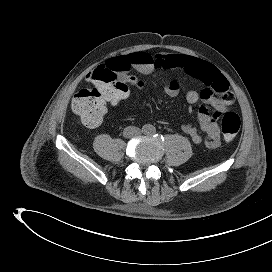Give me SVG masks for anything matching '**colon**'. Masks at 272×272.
I'll return each instance as SVG.
<instances>
[{"mask_svg": "<svg viewBox=\"0 0 272 272\" xmlns=\"http://www.w3.org/2000/svg\"><path fill=\"white\" fill-rule=\"evenodd\" d=\"M122 71L110 66H99L90 72L89 86L80 88L72 99V110L90 128L101 124L107 104H117L128 95L127 83L120 77ZM219 117V114H215ZM240 117L226 112L221 117V128L226 141H232L239 132Z\"/></svg>", "mask_w": 272, "mask_h": 272, "instance_id": "5ec220e1", "label": "colon"}]
</instances>
